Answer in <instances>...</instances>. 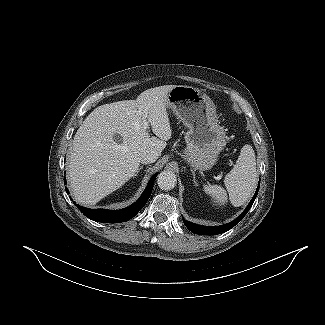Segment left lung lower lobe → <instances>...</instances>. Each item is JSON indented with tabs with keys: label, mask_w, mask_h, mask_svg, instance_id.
Listing matches in <instances>:
<instances>
[{
	"label": "left lung lower lobe",
	"mask_w": 325,
	"mask_h": 325,
	"mask_svg": "<svg viewBox=\"0 0 325 325\" xmlns=\"http://www.w3.org/2000/svg\"><path fill=\"white\" fill-rule=\"evenodd\" d=\"M259 187H260V180H259L256 192H255L253 198L251 199L250 203L246 207V209L242 212V214L240 216H238L235 220H233L230 223H227V224H224V225H221V226H202V225L190 223V222L186 221L185 219H183V222H184L185 226L191 232L196 233V234H200V235H217V234L224 233V232L230 230L231 228H233L247 214V212L249 211V209L252 207V205L254 203V200H255V198H256V196L258 194Z\"/></svg>",
	"instance_id": "1"
}]
</instances>
